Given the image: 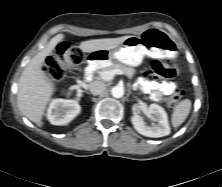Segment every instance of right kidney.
I'll return each instance as SVG.
<instances>
[{
	"instance_id": "right-kidney-1",
	"label": "right kidney",
	"mask_w": 222,
	"mask_h": 187,
	"mask_svg": "<svg viewBox=\"0 0 222 187\" xmlns=\"http://www.w3.org/2000/svg\"><path fill=\"white\" fill-rule=\"evenodd\" d=\"M80 110L77 101L58 98L51 101L47 118L53 125H66L80 113Z\"/></svg>"
}]
</instances>
